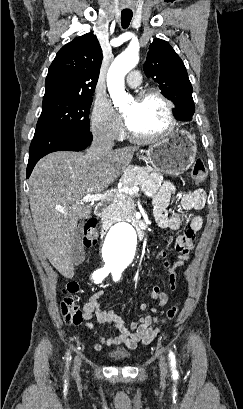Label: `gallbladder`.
I'll return each mask as SVG.
<instances>
[{"instance_id":"gallbladder-1","label":"gallbladder","mask_w":243,"mask_h":409,"mask_svg":"<svg viewBox=\"0 0 243 409\" xmlns=\"http://www.w3.org/2000/svg\"><path fill=\"white\" fill-rule=\"evenodd\" d=\"M84 255L85 252L82 245V235L80 229L77 228L76 236L71 245V256L73 259V263L75 265L82 263V261L84 260Z\"/></svg>"}]
</instances>
